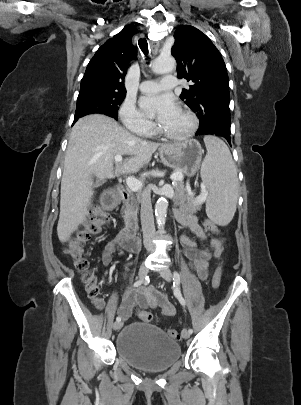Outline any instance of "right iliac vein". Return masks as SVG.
I'll list each match as a JSON object with an SVG mask.
<instances>
[{
  "instance_id": "right-iliac-vein-1",
  "label": "right iliac vein",
  "mask_w": 301,
  "mask_h": 405,
  "mask_svg": "<svg viewBox=\"0 0 301 405\" xmlns=\"http://www.w3.org/2000/svg\"><path fill=\"white\" fill-rule=\"evenodd\" d=\"M147 273H148V269H147L144 265H142V266L140 267L139 273H138L139 278H140L141 280L144 279V278L146 277ZM122 326H123V323H122L121 321H117V322H115V323L113 324V329H114V330H119Z\"/></svg>"
}]
</instances>
